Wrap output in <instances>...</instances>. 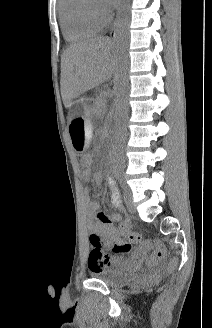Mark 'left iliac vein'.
Segmentation results:
<instances>
[{
  "mask_svg": "<svg viewBox=\"0 0 212 328\" xmlns=\"http://www.w3.org/2000/svg\"><path fill=\"white\" fill-rule=\"evenodd\" d=\"M124 201L129 211L135 212V206L132 199L131 191L127 188L124 192Z\"/></svg>",
  "mask_w": 212,
  "mask_h": 328,
  "instance_id": "obj_1",
  "label": "left iliac vein"
}]
</instances>
